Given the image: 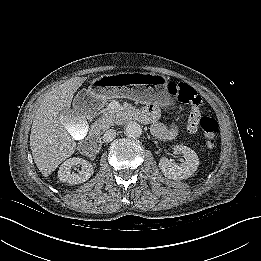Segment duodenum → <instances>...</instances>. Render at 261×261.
Wrapping results in <instances>:
<instances>
[{"label":"duodenum","mask_w":261,"mask_h":261,"mask_svg":"<svg viewBox=\"0 0 261 261\" xmlns=\"http://www.w3.org/2000/svg\"><path fill=\"white\" fill-rule=\"evenodd\" d=\"M136 110H127V116L134 118L136 116ZM101 145L100 138L97 134L91 136L87 141L83 142L80 146V152L83 155L89 156L95 153Z\"/></svg>","instance_id":"410a0bca"}]
</instances>
